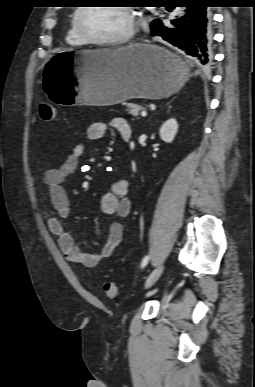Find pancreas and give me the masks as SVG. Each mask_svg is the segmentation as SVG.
Returning a JSON list of instances; mask_svg holds the SVG:
<instances>
[{
    "mask_svg": "<svg viewBox=\"0 0 255 387\" xmlns=\"http://www.w3.org/2000/svg\"><path fill=\"white\" fill-rule=\"evenodd\" d=\"M125 105L128 107L129 113L133 116V120H135V118L138 119V113L141 110V106L134 103H125Z\"/></svg>",
    "mask_w": 255,
    "mask_h": 387,
    "instance_id": "obj_1",
    "label": "pancreas"
}]
</instances>
